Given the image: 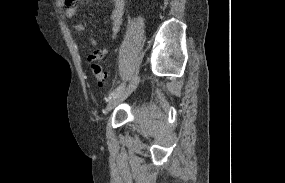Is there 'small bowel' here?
<instances>
[{
  "label": "small bowel",
  "instance_id": "obj_1",
  "mask_svg": "<svg viewBox=\"0 0 285 183\" xmlns=\"http://www.w3.org/2000/svg\"><path fill=\"white\" fill-rule=\"evenodd\" d=\"M113 3V9L110 14V33L109 41L113 42L118 38L120 28L122 25V18L125 10V0H111ZM75 7L73 1L67 4L65 8V16L68 19H73L75 17ZM74 33L81 34L84 31V25L79 22H75L71 25ZM92 46H96V41L93 38H89ZM108 54L107 48H94L87 53V60L89 63L97 62L103 59Z\"/></svg>",
  "mask_w": 285,
  "mask_h": 183
}]
</instances>
